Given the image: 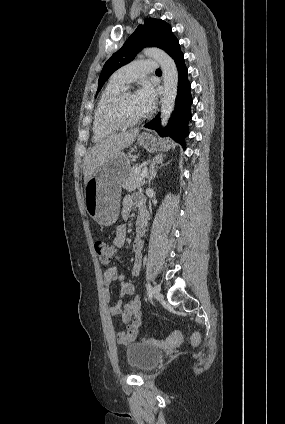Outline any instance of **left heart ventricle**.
Wrapping results in <instances>:
<instances>
[{"instance_id": "left-heart-ventricle-1", "label": "left heart ventricle", "mask_w": 285, "mask_h": 424, "mask_svg": "<svg viewBox=\"0 0 285 424\" xmlns=\"http://www.w3.org/2000/svg\"><path fill=\"white\" fill-rule=\"evenodd\" d=\"M119 114L125 120H134L145 115V112L137 100L136 93L129 94L123 100L119 108Z\"/></svg>"}]
</instances>
